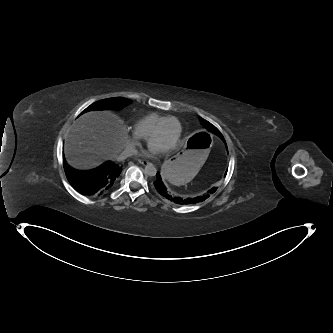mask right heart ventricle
<instances>
[{
    "instance_id": "right-heart-ventricle-1",
    "label": "right heart ventricle",
    "mask_w": 333,
    "mask_h": 333,
    "mask_svg": "<svg viewBox=\"0 0 333 333\" xmlns=\"http://www.w3.org/2000/svg\"><path fill=\"white\" fill-rule=\"evenodd\" d=\"M167 117H169V115H163L155 112L150 113L135 123V133L138 134L141 138L146 139L150 136L158 124Z\"/></svg>"
}]
</instances>
